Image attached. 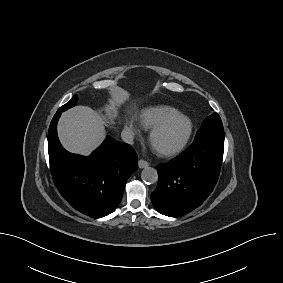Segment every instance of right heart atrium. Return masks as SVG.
<instances>
[{"label": "right heart atrium", "instance_id": "1", "mask_svg": "<svg viewBox=\"0 0 283 283\" xmlns=\"http://www.w3.org/2000/svg\"><path fill=\"white\" fill-rule=\"evenodd\" d=\"M124 129L130 136H139L141 134L140 125L132 118L126 119Z\"/></svg>", "mask_w": 283, "mask_h": 283}]
</instances>
